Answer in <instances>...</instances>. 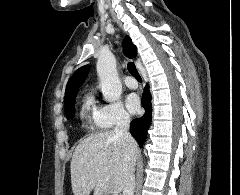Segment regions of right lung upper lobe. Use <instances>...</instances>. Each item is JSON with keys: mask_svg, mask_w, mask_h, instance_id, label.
<instances>
[{"mask_svg": "<svg viewBox=\"0 0 240 195\" xmlns=\"http://www.w3.org/2000/svg\"><path fill=\"white\" fill-rule=\"evenodd\" d=\"M123 52L129 58H135L137 55L136 46L132 43L129 36L124 39L123 42ZM90 66L84 65L77 69L75 73L70 78L65 93V107L70 105L71 102L75 101L76 94L79 87L85 81L87 74L89 72Z\"/></svg>", "mask_w": 240, "mask_h": 195, "instance_id": "cb5924a9", "label": "right lung upper lobe"}]
</instances>
